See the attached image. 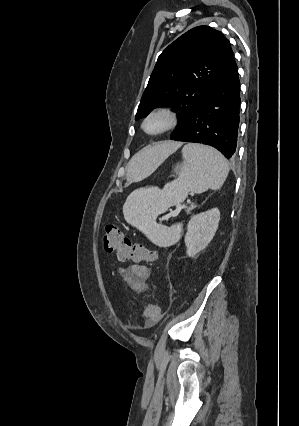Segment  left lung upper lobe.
<instances>
[{
  "label": "left lung upper lobe",
  "mask_w": 299,
  "mask_h": 426,
  "mask_svg": "<svg viewBox=\"0 0 299 426\" xmlns=\"http://www.w3.org/2000/svg\"><path fill=\"white\" fill-rule=\"evenodd\" d=\"M232 59V48L222 32L208 26L187 31L159 55L135 119L145 117L156 106L172 105L179 113L174 136Z\"/></svg>",
  "instance_id": "obj_1"
}]
</instances>
